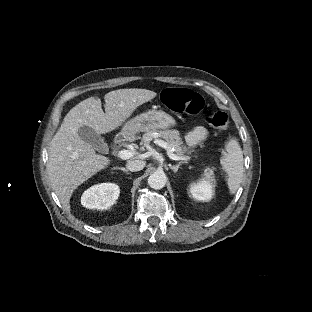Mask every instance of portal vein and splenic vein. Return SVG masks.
<instances>
[{"label": "portal vein and splenic vein", "instance_id": "obj_1", "mask_svg": "<svg viewBox=\"0 0 312 312\" xmlns=\"http://www.w3.org/2000/svg\"><path fill=\"white\" fill-rule=\"evenodd\" d=\"M157 142H158V145L164 148L167 147V144L164 141L158 140ZM174 151L175 150L172 148L170 149V152H169V156L172 160L190 162L191 159L189 156L176 155V154H173ZM131 156H132V152L129 150H120L117 152V158L122 159V160L129 159Z\"/></svg>", "mask_w": 312, "mask_h": 312}]
</instances>
